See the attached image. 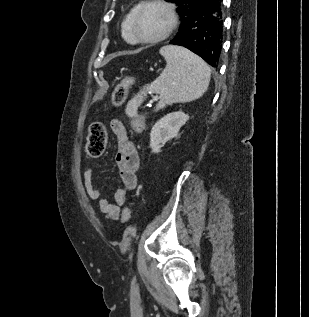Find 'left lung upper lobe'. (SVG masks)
Instances as JSON below:
<instances>
[{
    "label": "left lung upper lobe",
    "mask_w": 309,
    "mask_h": 317,
    "mask_svg": "<svg viewBox=\"0 0 309 317\" xmlns=\"http://www.w3.org/2000/svg\"><path fill=\"white\" fill-rule=\"evenodd\" d=\"M169 2H174L178 5L177 12L181 17L182 25L186 19L192 14V12L201 6L206 0H166Z\"/></svg>",
    "instance_id": "5c2ea615"
}]
</instances>
